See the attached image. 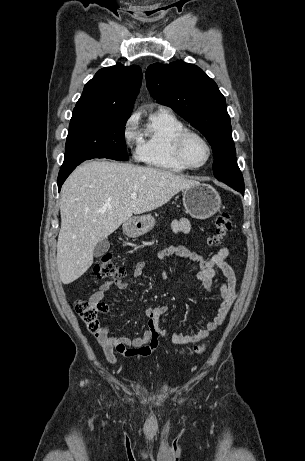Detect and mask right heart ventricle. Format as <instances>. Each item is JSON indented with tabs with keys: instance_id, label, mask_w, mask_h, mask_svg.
I'll return each instance as SVG.
<instances>
[{
	"instance_id": "obj_1",
	"label": "right heart ventricle",
	"mask_w": 305,
	"mask_h": 461,
	"mask_svg": "<svg viewBox=\"0 0 305 461\" xmlns=\"http://www.w3.org/2000/svg\"><path fill=\"white\" fill-rule=\"evenodd\" d=\"M185 128L170 111L161 109L153 113L137 134V158L149 166L170 172L185 171L187 168L178 160L174 149L175 138Z\"/></svg>"
}]
</instances>
